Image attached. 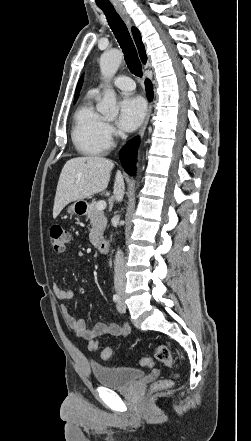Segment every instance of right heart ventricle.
<instances>
[{
    "mask_svg": "<svg viewBox=\"0 0 251 441\" xmlns=\"http://www.w3.org/2000/svg\"><path fill=\"white\" fill-rule=\"evenodd\" d=\"M95 91H90L74 113L71 137L75 148L83 155L104 154L111 145L106 134V122L93 105Z\"/></svg>",
    "mask_w": 251,
    "mask_h": 441,
    "instance_id": "e07e8e85",
    "label": "right heart ventricle"
}]
</instances>
